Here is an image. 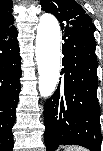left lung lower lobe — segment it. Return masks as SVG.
I'll return each mask as SVG.
<instances>
[{"label":"left lung lower lobe","mask_w":103,"mask_h":151,"mask_svg":"<svg viewBox=\"0 0 103 151\" xmlns=\"http://www.w3.org/2000/svg\"><path fill=\"white\" fill-rule=\"evenodd\" d=\"M63 39V83L58 85L44 106L47 151H55L59 145L72 144L101 151L94 35L69 28L64 30Z\"/></svg>","instance_id":"obj_1"}]
</instances>
